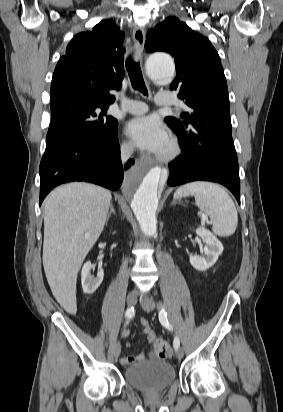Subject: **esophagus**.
I'll return each mask as SVG.
<instances>
[{
  "mask_svg": "<svg viewBox=\"0 0 283 412\" xmlns=\"http://www.w3.org/2000/svg\"><path fill=\"white\" fill-rule=\"evenodd\" d=\"M133 41H134L135 49L140 54L143 50L144 42H145V31L142 28L140 27L134 28Z\"/></svg>",
  "mask_w": 283,
  "mask_h": 412,
  "instance_id": "obj_1",
  "label": "esophagus"
}]
</instances>
